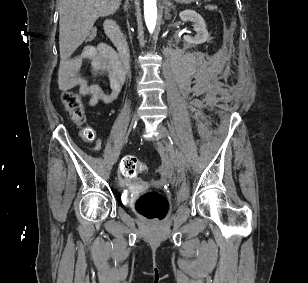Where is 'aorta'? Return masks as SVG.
<instances>
[{"label":"aorta","instance_id":"aorta-1","mask_svg":"<svg viewBox=\"0 0 308 283\" xmlns=\"http://www.w3.org/2000/svg\"><path fill=\"white\" fill-rule=\"evenodd\" d=\"M144 17L149 32H153L157 20L156 0H144Z\"/></svg>","mask_w":308,"mask_h":283}]
</instances>
